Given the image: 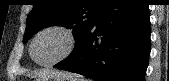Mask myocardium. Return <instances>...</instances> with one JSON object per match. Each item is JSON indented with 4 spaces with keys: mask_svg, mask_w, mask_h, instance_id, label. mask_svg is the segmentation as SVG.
<instances>
[{
    "mask_svg": "<svg viewBox=\"0 0 169 81\" xmlns=\"http://www.w3.org/2000/svg\"><path fill=\"white\" fill-rule=\"evenodd\" d=\"M50 31H56V32H59L61 34H63L67 41H68V46L65 50V52L56 60L52 61V62H49V63H40L39 61L36 60L35 56H34V45H35V42L37 40V38L46 33V32H50ZM76 44H77V39H76V36L73 32L72 29L66 27V26H63V25H51V26H48L42 30H40L35 36L34 38L32 39L31 41V44H30V56L32 58V60L40 67H44V68H50V67H53L59 63H61L62 61H64L65 59H67L74 51L75 47H76Z\"/></svg>",
    "mask_w": 169,
    "mask_h": 81,
    "instance_id": "f54148a6",
    "label": "myocardium"
}]
</instances>
